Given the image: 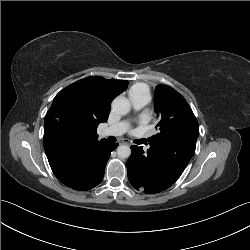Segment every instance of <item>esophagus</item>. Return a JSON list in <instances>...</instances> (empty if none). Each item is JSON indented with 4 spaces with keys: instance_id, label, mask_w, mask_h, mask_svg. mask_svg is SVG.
<instances>
[{
    "instance_id": "1",
    "label": "esophagus",
    "mask_w": 250,
    "mask_h": 250,
    "mask_svg": "<svg viewBox=\"0 0 250 250\" xmlns=\"http://www.w3.org/2000/svg\"><path fill=\"white\" fill-rule=\"evenodd\" d=\"M119 143H120V144H129V141H128L127 139L123 138V139H121V140L119 141Z\"/></svg>"
}]
</instances>
